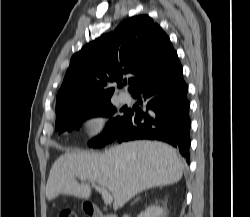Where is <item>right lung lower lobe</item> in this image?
Segmentation results:
<instances>
[{"label":"right lung lower lobe","mask_w":250,"mask_h":217,"mask_svg":"<svg viewBox=\"0 0 250 217\" xmlns=\"http://www.w3.org/2000/svg\"><path fill=\"white\" fill-rule=\"evenodd\" d=\"M187 92L188 86L176 55L160 73L132 93L147 110H129V117L116 139L119 142L162 140L177 148L189 163L191 122Z\"/></svg>","instance_id":"1"}]
</instances>
